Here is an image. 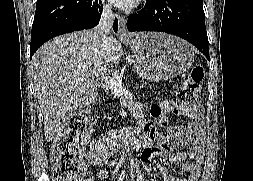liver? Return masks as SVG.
I'll list each match as a JSON object with an SVG mask.
<instances>
[{
  "label": "liver",
  "mask_w": 253,
  "mask_h": 181,
  "mask_svg": "<svg viewBox=\"0 0 253 181\" xmlns=\"http://www.w3.org/2000/svg\"><path fill=\"white\" fill-rule=\"evenodd\" d=\"M143 33H130L129 37ZM106 49L95 29L55 37L35 53L31 68L35 93L44 115L48 142L111 74H117L122 46L113 36Z\"/></svg>",
  "instance_id": "6515ba94"
}]
</instances>
